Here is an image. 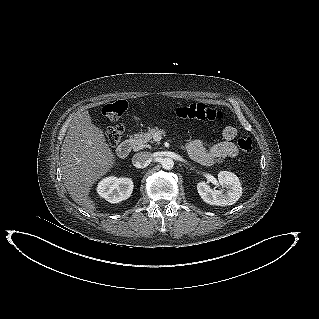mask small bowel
Here are the masks:
<instances>
[{
  "mask_svg": "<svg viewBox=\"0 0 319 319\" xmlns=\"http://www.w3.org/2000/svg\"><path fill=\"white\" fill-rule=\"evenodd\" d=\"M237 133L236 127L226 126L222 133V141L214 144L210 148H206L202 142L194 140L187 144V152L191 159L204 166L213 165L226 158H234L239 152L234 143Z\"/></svg>",
  "mask_w": 319,
  "mask_h": 319,
  "instance_id": "1",
  "label": "small bowel"
}]
</instances>
